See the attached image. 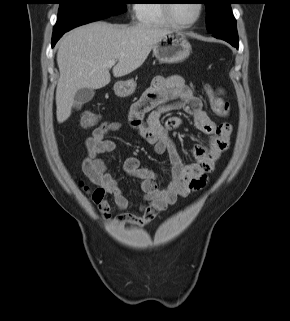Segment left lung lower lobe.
I'll list each match as a JSON object with an SVG mask.
<instances>
[{
  "label": "left lung lower lobe",
  "mask_w": 290,
  "mask_h": 321,
  "mask_svg": "<svg viewBox=\"0 0 290 321\" xmlns=\"http://www.w3.org/2000/svg\"><path fill=\"white\" fill-rule=\"evenodd\" d=\"M216 38L222 39L230 43L232 46L238 48V34L237 29L230 30L224 33L213 34Z\"/></svg>",
  "instance_id": "1"
}]
</instances>
